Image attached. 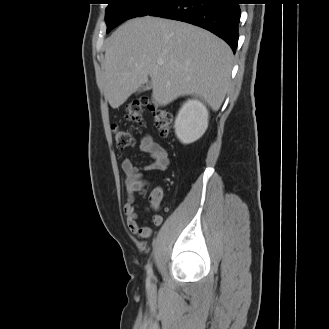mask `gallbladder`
<instances>
[{"instance_id":"1","label":"gallbladder","mask_w":329,"mask_h":329,"mask_svg":"<svg viewBox=\"0 0 329 329\" xmlns=\"http://www.w3.org/2000/svg\"><path fill=\"white\" fill-rule=\"evenodd\" d=\"M152 88V82L148 80L146 84L138 89V92L147 91Z\"/></svg>"}]
</instances>
